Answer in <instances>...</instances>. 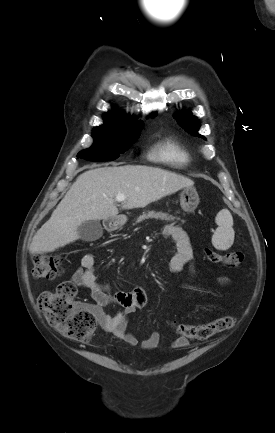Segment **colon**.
<instances>
[{
	"label": "colon",
	"mask_w": 275,
	"mask_h": 433,
	"mask_svg": "<svg viewBox=\"0 0 275 433\" xmlns=\"http://www.w3.org/2000/svg\"><path fill=\"white\" fill-rule=\"evenodd\" d=\"M209 262L224 264L234 268L243 262V254L231 252L221 254L211 249H205ZM61 273V259L44 254L33 258L32 275L38 279H50ZM76 287L68 282L61 283L53 291L43 292L38 300L46 320L63 335L76 341H88L96 327L93 314L84 304L75 298ZM235 324L232 316H223L202 324L175 323L176 333L187 340H208L211 337L230 330Z\"/></svg>",
	"instance_id": "5ec220e1"
}]
</instances>
